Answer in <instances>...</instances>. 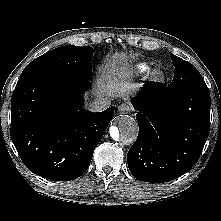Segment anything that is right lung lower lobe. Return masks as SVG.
<instances>
[{"label": "right lung lower lobe", "mask_w": 221, "mask_h": 221, "mask_svg": "<svg viewBox=\"0 0 221 221\" xmlns=\"http://www.w3.org/2000/svg\"><path fill=\"white\" fill-rule=\"evenodd\" d=\"M89 79L44 73L21 76L11 100V138L26 167L54 181L80 177L114 116V107L81 109Z\"/></svg>", "instance_id": "obj_1"}]
</instances>
